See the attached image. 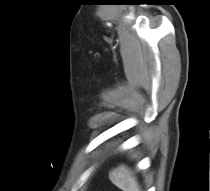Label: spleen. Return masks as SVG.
<instances>
[{
	"label": "spleen",
	"mask_w": 210,
	"mask_h": 191,
	"mask_svg": "<svg viewBox=\"0 0 210 191\" xmlns=\"http://www.w3.org/2000/svg\"><path fill=\"white\" fill-rule=\"evenodd\" d=\"M109 179L123 191H141L136 178L131 175L124 165L110 172Z\"/></svg>",
	"instance_id": "obj_1"
}]
</instances>
